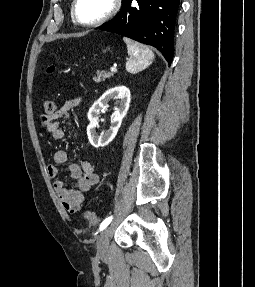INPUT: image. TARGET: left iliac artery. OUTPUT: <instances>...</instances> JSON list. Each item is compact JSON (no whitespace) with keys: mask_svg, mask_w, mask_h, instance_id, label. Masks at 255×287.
<instances>
[{"mask_svg":"<svg viewBox=\"0 0 255 287\" xmlns=\"http://www.w3.org/2000/svg\"><path fill=\"white\" fill-rule=\"evenodd\" d=\"M112 219H113L112 216L106 218V219L101 223V225H100V231H102L103 229H105V228L109 225V223L112 221Z\"/></svg>","mask_w":255,"mask_h":287,"instance_id":"left-iliac-artery-1","label":"left iliac artery"}]
</instances>
